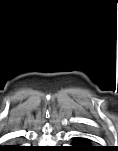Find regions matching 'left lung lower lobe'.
<instances>
[{
  "mask_svg": "<svg viewBox=\"0 0 118 151\" xmlns=\"http://www.w3.org/2000/svg\"><path fill=\"white\" fill-rule=\"evenodd\" d=\"M74 146L70 149L71 151H96L97 148L92 147L87 144V141L84 138L77 137L75 138Z\"/></svg>",
  "mask_w": 118,
  "mask_h": 151,
  "instance_id": "left-lung-lower-lobe-1",
  "label": "left lung lower lobe"
}]
</instances>
